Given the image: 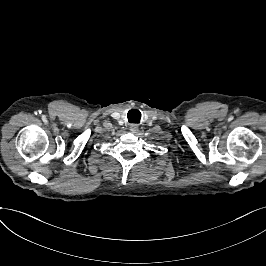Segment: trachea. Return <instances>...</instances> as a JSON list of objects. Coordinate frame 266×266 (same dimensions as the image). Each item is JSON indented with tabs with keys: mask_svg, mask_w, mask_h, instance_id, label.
Returning <instances> with one entry per match:
<instances>
[{
	"mask_svg": "<svg viewBox=\"0 0 266 266\" xmlns=\"http://www.w3.org/2000/svg\"><path fill=\"white\" fill-rule=\"evenodd\" d=\"M128 121L130 123H138L140 121L141 114L139 111L133 109L128 112Z\"/></svg>",
	"mask_w": 266,
	"mask_h": 266,
	"instance_id": "trachea-1",
	"label": "trachea"
}]
</instances>
